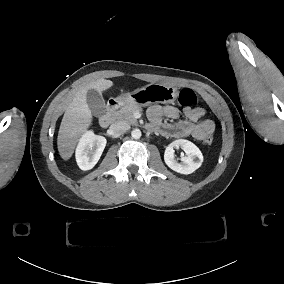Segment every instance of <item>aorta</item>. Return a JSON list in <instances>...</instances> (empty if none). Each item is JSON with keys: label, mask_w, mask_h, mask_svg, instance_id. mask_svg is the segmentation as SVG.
I'll use <instances>...</instances> for the list:
<instances>
[{"label": "aorta", "mask_w": 284, "mask_h": 284, "mask_svg": "<svg viewBox=\"0 0 284 284\" xmlns=\"http://www.w3.org/2000/svg\"><path fill=\"white\" fill-rule=\"evenodd\" d=\"M141 135H142V133L138 128L133 129L132 132H131V136L134 139H139L141 137Z\"/></svg>", "instance_id": "obj_1"}]
</instances>
